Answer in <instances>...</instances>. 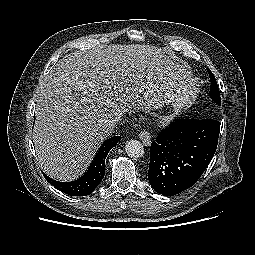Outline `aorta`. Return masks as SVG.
Segmentation results:
<instances>
[{
    "label": "aorta",
    "instance_id": "obj_1",
    "mask_svg": "<svg viewBox=\"0 0 255 255\" xmlns=\"http://www.w3.org/2000/svg\"><path fill=\"white\" fill-rule=\"evenodd\" d=\"M128 156L132 158H141L144 155V147L138 140H129L125 145Z\"/></svg>",
    "mask_w": 255,
    "mask_h": 255
}]
</instances>
